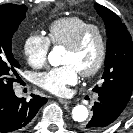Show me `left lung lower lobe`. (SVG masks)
Wrapping results in <instances>:
<instances>
[{"label":"left lung lower lobe","instance_id":"1","mask_svg":"<svg viewBox=\"0 0 133 133\" xmlns=\"http://www.w3.org/2000/svg\"><path fill=\"white\" fill-rule=\"evenodd\" d=\"M98 96L92 107L93 116L81 127L82 133H99L104 130L119 117L128 103L106 92H99Z\"/></svg>","mask_w":133,"mask_h":133}]
</instances>
